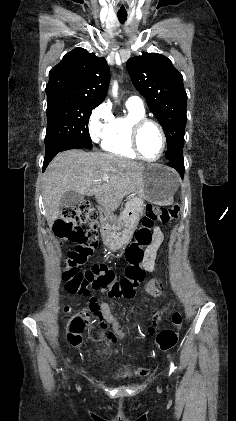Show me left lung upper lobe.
Here are the masks:
<instances>
[{
  "mask_svg": "<svg viewBox=\"0 0 236 421\" xmlns=\"http://www.w3.org/2000/svg\"><path fill=\"white\" fill-rule=\"evenodd\" d=\"M136 89L162 126L167 139L166 159H183L187 94L183 77L165 56L143 53L127 61Z\"/></svg>",
  "mask_w": 236,
  "mask_h": 421,
  "instance_id": "obj_1",
  "label": "left lung upper lobe"
}]
</instances>
